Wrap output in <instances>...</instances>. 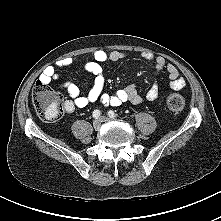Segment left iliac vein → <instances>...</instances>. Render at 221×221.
<instances>
[{"label": "left iliac vein", "mask_w": 221, "mask_h": 221, "mask_svg": "<svg viewBox=\"0 0 221 221\" xmlns=\"http://www.w3.org/2000/svg\"><path fill=\"white\" fill-rule=\"evenodd\" d=\"M112 119H110V118H108V117H106V116H102L101 117V121L102 122H109V121H111Z\"/></svg>", "instance_id": "left-iliac-vein-1"}]
</instances>
